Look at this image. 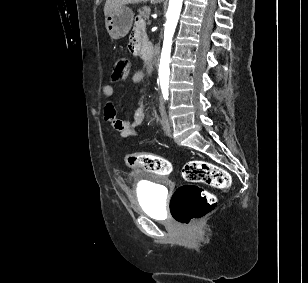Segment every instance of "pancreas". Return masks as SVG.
I'll use <instances>...</instances> for the list:
<instances>
[{
  "instance_id": "cf45deb5",
  "label": "pancreas",
  "mask_w": 308,
  "mask_h": 283,
  "mask_svg": "<svg viewBox=\"0 0 308 283\" xmlns=\"http://www.w3.org/2000/svg\"><path fill=\"white\" fill-rule=\"evenodd\" d=\"M139 15L141 17H143L144 19H148L149 18V13H150V8L147 6H144L142 9L138 10Z\"/></svg>"
}]
</instances>
